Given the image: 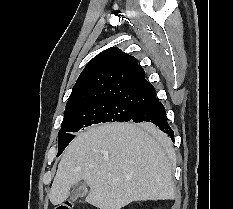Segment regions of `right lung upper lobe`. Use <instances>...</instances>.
I'll return each mask as SVG.
<instances>
[{
  "label": "right lung upper lobe",
  "mask_w": 233,
  "mask_h": 209,
  "mask_svg": "<svg viewBox=\"0 0 233 209\" xmlns=\"http://www.w3.org/2000/svg\"><path fill=\"white\" fill-rule=\"evenodd\" d=\"M154 98L155 89L145 79V71L137 59L112 47L86 65L73 87L65 112L97 101L119 100L145 105Z\"/></svg>",
  "instance_id": "1"
}]
</instances>
